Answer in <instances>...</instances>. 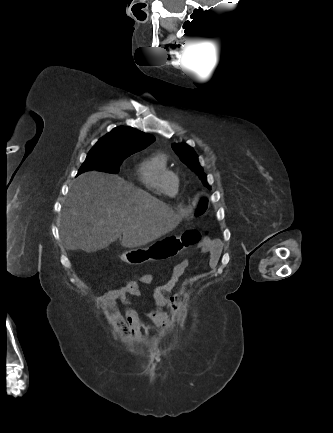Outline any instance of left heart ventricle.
<instances>
[{"mask_svg":"<svg viewBox=\"0 0 333 433\" xmlns=\"http://www.w3.org/2000/svg\"><path fill=\"white\" fill-rule=\"evenodd\" d=\"M168 188H169V190H170L171 192H174V191H175V188H176V182H175V179H174V178H170V179L168 180Z\"/></svg>","mask_w":333,"mask_h":433,"instance_id":"b2bd125f","label":"left heart ventricle"}]
</instances>
